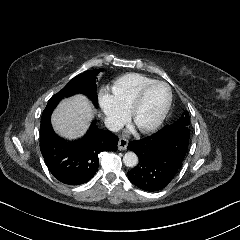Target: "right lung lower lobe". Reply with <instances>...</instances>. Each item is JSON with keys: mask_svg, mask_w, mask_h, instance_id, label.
Listing matches in <instances>:
<instances>
[{"mask_svg": "<svg viewBox=\"0 0 240 240\" xmlns=\"http://www.w3.org/2000/svg\"><path fill=\"white\" fill-rule=\"evenodd\" d=\"M50 117L40 125V150L49 171L67 185L88 182L98 170L99 155L117 150L118 137L93 122L84 137L68 142L55 134Z\"/></svg>", "mask_w": 240, "mask_h": 240, "instance_id": "1", "label": "right lung lower lobe"}]
</instances>
